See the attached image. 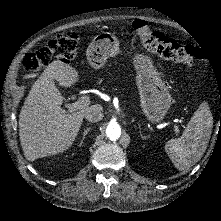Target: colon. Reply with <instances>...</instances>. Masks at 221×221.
Instances as JSON below:
<instances>
[{
	"label": "colon",
	"mask_w": 221,
	"mask_h": 221,
	"mask_svg": "<svg viewBox=\"0 0 221 221\" xmlns=\"http://www.w3.org/2000/svg\"><path fill=\"white\" fill-rule=\"evenodd\" d=\"M117 23L119 26L125 25L123 21H117ZM130 25L139 42L148 52L158 54L163 59L186 65L198 64V58L202 54L194 46L181 45L163 33L151 30L148 24L141 20L131 21ZM79 40L80 37L76 32L58 34L47 46L28 53L23 58L24 71L32 73L55 62L70 61L75 57Z\"/></svg>",
	"instance_id": "5ec220e1"
}]
</instances>
